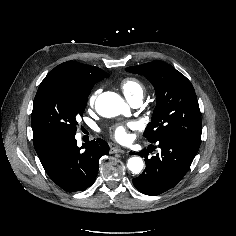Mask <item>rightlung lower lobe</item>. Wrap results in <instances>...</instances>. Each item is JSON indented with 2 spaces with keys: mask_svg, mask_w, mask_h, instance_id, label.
I'll return each instance as SVG.
<instances>
[{
  "mask_svg": "<svg viewBox=\"0 0 236 236\" xmlns=\"http://www.w3.org/2000/svg\"><path fill=\"white\" fill-rule=\"evenodd\" d=\"M33 143L48 176L67 192L90 187L96 178L100 157L109 152L108 144L102 139L79 148L75 135L35 136Z\"/></svg>",
  "mask_w": 236,
  "mask_h": 236,
  "instance_id": "1",
  "label": "right lung lower lobe"
}]
</instances>
